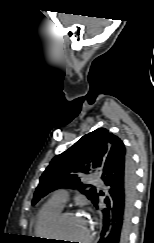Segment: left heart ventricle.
I'll return each mask as SVG.
<instances>
[{
	"mask_svg": "<svg viewBox=\"0 0 154 243\" xmlns=\"http://www.w3.org/2000/svg\"><path fill=\"white\" fill-rule=\"evenodd\" d=\"M91 232V222L84 216L71 215L66 217L61 225L59 234L65 243L74 242V240H79L82 243Z\"/></svg>",
	"mask_w": 154,
	"mask_h": 243,
	"instance_id": "b2bd125f",
	"label": "left heart ventricle"
}]
</instances>
